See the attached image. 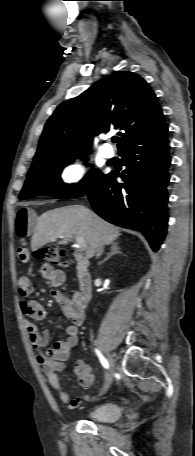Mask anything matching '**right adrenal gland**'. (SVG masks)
Wrapping results in <instances>:
<instances>
[{"label": "right adrenal gland", "mask_w": 195, "mask_h": 456, "mask_svg": "<svg viewBox=\"0 0 195 456\" xmlns=\"http://www.w3.org/2000/svg\"><path fill=\"white\" fill-rule=\"evenodd\" d=\"M115 254H122V252L120 251L118 243H112L111 244L110 252L107 254V257L103 261H101L100 263H103V262L107 261L108 259H110L111 256H113Z\"/></svg>", "instance_id": "obj_1"}]
</instances>
